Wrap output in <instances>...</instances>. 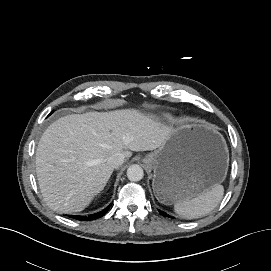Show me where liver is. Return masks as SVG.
I'll use <instances>...</instances> for the list:
<instances>
[{
  "label": "liver",
  "instance_id": "6515ba94",
  "mask_svg": "<svg viewBox=\"0 0 271 271\" xmlns=\"http://www.w3.org/2000/svg\"><path fill=\"white\" fill-rule=\"evenodd\" d=\"M172 129L136 110L68 115L43 133L36 172L44 201L59 213L85 209L106 186L114 154L159 148ZM131 150V151H130Z\"/></svg>",
  "mask_w": 271,
  "mask_h": 271
}]
</instances>
